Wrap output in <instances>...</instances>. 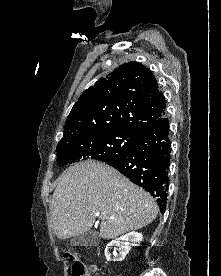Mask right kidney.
Segmentation results:
<instances>
[{
  "mask_svg": "<svg viewBox=\"0 0 221 276\" xmlns=\"http://www.w3.org/2000/svg\"><path fill=\"white\" fill-rule=\"evenodd\" d=\"M143 239V235L138 232H129L118 239L110 241L105 248V256L108 261H123L125 256L129 253L131 246H139ZM112 246L119 248V255L116 257H111L109 249Z\"/></svg>",
  "mask_w": 221,
  "mask_h": 276,
  "instance_id": "ca27d5eb",
  "label": "right kidney"
}]
</instances>
